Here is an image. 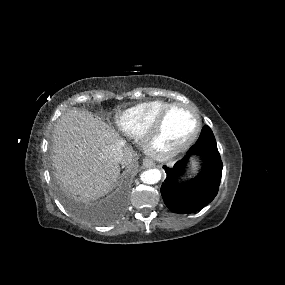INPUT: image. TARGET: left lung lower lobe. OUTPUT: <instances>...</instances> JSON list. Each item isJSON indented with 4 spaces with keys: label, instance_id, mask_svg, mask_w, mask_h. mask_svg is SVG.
Segmentation results:
<instances>
[{
    "label": "left lung lower lobe",
    "instance_id": "1",
    "mask_svg": "<svg viewBox=\"0 0 285 285\" xmlns=\"http://www.w3.org/2000/svg\"><path fill=\"white\" fill-rule=\"evenodd\" d=\"M192 155L202 157L204 168L193 180L179 184L177 178ZM222 167L213 132L209 126H204L199 139L182 160L173 168L163 166L167 177L161 186V194L166 206L180 214L193 213L206 206L218 193Z\"/></svg>",
    "mask_w": 285,
    "mask_h": 285
}]
</instances>
